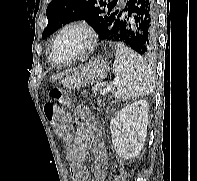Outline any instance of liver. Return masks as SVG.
<instances>
[{"mask_svg": "<svg viewBox=\"0 0 197 181\" xmlns=\"http://www.w3.org/2000/svg\"><path fill=\"white\" fill-rule=\"evenodd\" d=\"M70 72H72V70H67V71H65V72H63V73L54 75V76H53V79H54V80H57V79H59V78L65 76L66 74H68V73H70Z\"/></svg>", "mask_w": 197, "mask_h": 181, "instance_id": "obj_1", "label": "liver"}]
</instances>
